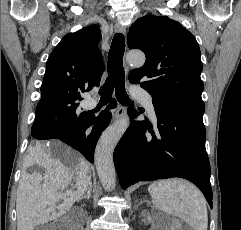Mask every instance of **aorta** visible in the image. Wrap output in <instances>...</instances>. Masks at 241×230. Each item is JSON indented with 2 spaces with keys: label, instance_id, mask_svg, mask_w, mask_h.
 <instances>
[{
  "label": "aorta",
  "instance_id": "obj_1",
  "mask_svg": "<svg viewBox=\"0 0 241 230\" xmlns=\"http://www.w3.org/2000/svg\"><path fill=\"white\" fill-rule=\"evenodd\" d=\"M126 60L133 67H141L145 63V55L142 52L131 51L126 55ZM128 126V119L118 121L102 134L96 147V169L100 182L107 191H112L115 188L116 172L113 162V152Z\"/></svg>",
  "mask_w": 241,
  "mask_h": 230
}]
</instances>
